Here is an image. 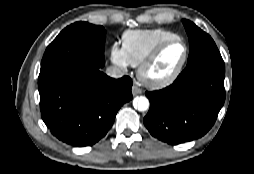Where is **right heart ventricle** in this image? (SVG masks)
Wrapping results in <instances>:
<instances>
[{"label":"right heart ventricle","mask_w":254,"mask_h":174,"mask_svg":"<svg viewBox=\"0 0 254 174\" xmlns=\"http://www.w3.org/2000/svg\"><path fill=\"white\" fill-rule=\"evenodd\" d=\"M174 37L177 34L162 28L127 30L122 34V48L128 63L137 67L156 45Z\"/></svg>","instance_id":"1"}]
</instances>
